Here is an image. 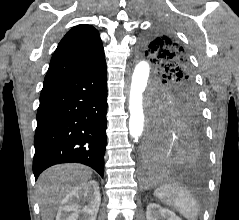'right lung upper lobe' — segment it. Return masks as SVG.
<instances>
[{
	"label": "right lung upper lobe",
	"mask_w": 239,
	"mask_h": 220,
	"mask_svg": "<svg viewBox=\"0 0 239 220\" xmlns=\"http://www.w3.org/2000/svg\"><path fill=\"white\" fill-rule=\"evenodd\" d=\"M104 61L99 32L90 25L75 26L58 44L43 86L76 77Z\"/></svg>",
	"instance_id": "right-lung-upper-lobe-1"
}]
</instances>
